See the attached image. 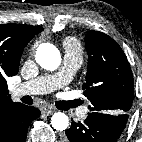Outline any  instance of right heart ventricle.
<instances>
[{
	"instance_id": "e07e8e85",
	"label": "right heart ventricle",
	"mask_w": 142,
	"mask_h": 142,
	"mask_svg": "<svg viewBox=\"0 0 142 142\" xmlns=\"http://www.w3.org/2000/svg\"><path fill=\"white\" fill-rule=\"evenodd\" d=\"M64 47L66 52L79 54L81 52V46L79 41L74 37H69L64 41Z\"/></svg>"
}]
</instances>
